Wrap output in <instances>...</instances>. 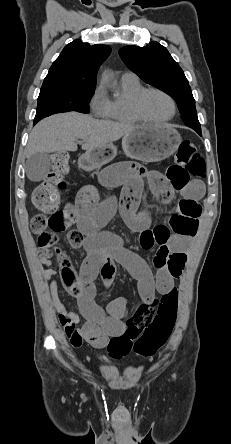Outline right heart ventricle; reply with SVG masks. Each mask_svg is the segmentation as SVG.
<instances>
[{"label": "right heart ventricle", "instance_id": "1", "mask_svg": "<svg viewBox=\"0 0 231 444\" xmlns=\"http://www.w3.org/2000/svg\"><path fill=\"white\" fill-rule=\"evenodd\" d=\"M120 86L122 94L110 100L105 118L122 124H136L140 120L133 114L131 103L144 87L138 78H121Z\"/></svg>", "mask_w": 231, "mask_h": 444}]
</instances>
